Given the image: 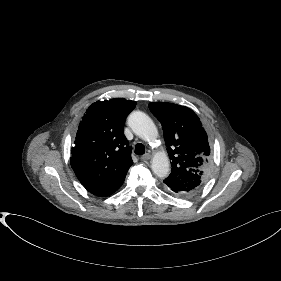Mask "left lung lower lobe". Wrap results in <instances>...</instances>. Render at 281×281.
I'll list each match as a JSON object with an SVG mask.
<instances>
[{
    "label": "left lung lower lobe",
    "mask_w": 281,
    "mask_h": 281,
    "mask_svg": "<svg viewBox=\"0 0 281 281\" xmlns=\"http://www.w3.org/2000/svg\"><path fill=\"white\" fill-rule=\"evenodd\" d=\"M167 190H168L170 193L174 194V195L181 196V197H187L185 194L180 193V192H178L177 190L169 189V188H167Z\"/></svg>",
    "instance_id": "1"
}]
</instances>
